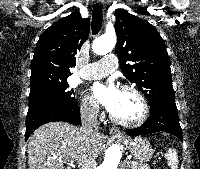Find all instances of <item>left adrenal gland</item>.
Here are the masks:
<instances>
[{
  "mask_svg": "<svg viewBox=\"0 0 200 169\" xmlns=\"http://www.w3.org/2000/svg\"><path fill=\"white\" fill-rule=\"evenodd\" d=\"M129 166L127 165V160H124L122 166H121V169H128Z\"/></svg>",
  "mask_w": 200,
  "mask_h": 169,
  "instance_id": "1",
  "label": "left adrenal gland"
}]
</instances>
